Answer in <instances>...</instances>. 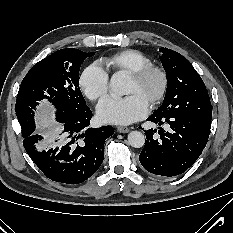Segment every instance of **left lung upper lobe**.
I'll return each instance as SVG.
<instances>
[{
	"mask_svg": "<svg viewBox=\"0 0 233 233\" xmlns=\"http://www.w3.org/2000/svg\"><path fill=\"white\" fill-rule=\"evenodd\" d=\"M160 52L167 76V89L162 105L153 114L187 113L211 121L210 98L192 64L171 49L160 48Z\"/></svg>",
	"mask_w": 233,
	"mask_h": 233,
	"instance_id": "5c2ea615",
	"label": "left lung upper lobe"
}]
</instances>
